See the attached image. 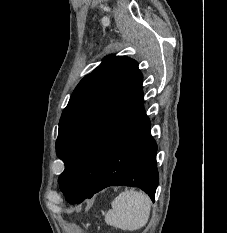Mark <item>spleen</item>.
I'll return each mask as SVG.
<instances>
[{"label": "spleen", "instance_id": "1", "mask_svg": "<svg viewBox=\"0 0 227 233\" xmlns=\"http://www.w3.org/2000/svg\"><path fill=\"white\" fill-rule=\"evenodd\" d=\"M105 222L121 230L134 231L144 227L150 216L151 200L133 189L121 192L112 202Z\"/></svg>", "mask_w": 227, "mask_h": 233}]
</instances>
